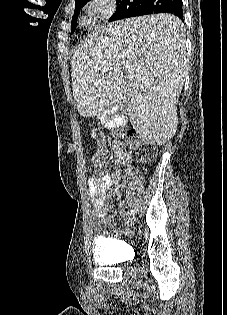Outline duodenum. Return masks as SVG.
<instances>
[{
	"label": "duodenum",
	"mask_w": 227,
	"mask_h": 315,
	"mask_svg": "<svg viewBox=\"0 0 227 315\" xmlns=\"http://www.w3.org/2000/svg\"><path fill=\"white\" fill-rule=\"evenodd\" d=\"M105 121L110 127H117L123 121V116L119 111H111L105 114Z\"/></svg>",
	"instance_id": "obj_1"
}]
</instances>
